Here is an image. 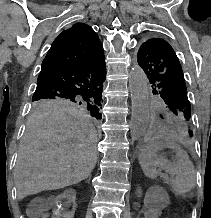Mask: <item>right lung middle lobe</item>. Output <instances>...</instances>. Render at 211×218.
<instances>
[{
    "mask_svg": "<svg viewBox=\"0 0 211 218\" xmlns=\"http://www.w3.org/2000/svg\"><path fill=\"white\" fill-rule=\"evenodd\" d=\"M33 107L35 109H46L54 107H67V106H81L87 109L91 116L96 119H101L100 113L102 98H61V97H46V98H32Z\"/></svg>",
    "mask_w": 211,
    "mask_h": 218,
    "instance_id": "obj_1",
    "label": "right lung middle lobe"
}]
</instances>
